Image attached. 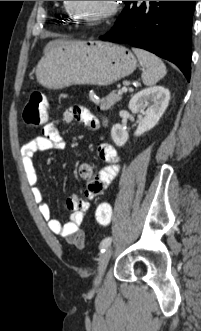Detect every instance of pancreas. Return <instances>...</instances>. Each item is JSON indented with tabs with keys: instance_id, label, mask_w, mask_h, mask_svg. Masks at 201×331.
<instances>
[{
	"instance_id": "cf45deb5",
	"label": "pancreas",
	"mask_w": 201,
	"mask_h": 331,
	"mask_svg": "<svg viewBox=\"0 0 201 331\" xmlns=\"http://www.w3.org/2000/svg\"><path fill=\"white\" fill-rule=\"evenodd\" d=\"M95 94L90 93V99L100 105L101 109L108 110L113 106L116 102L120 101L122 99L121 94H118L115 90L110 92L105 98L102 99H95Z\"/></svg>"
}]
</instances>
